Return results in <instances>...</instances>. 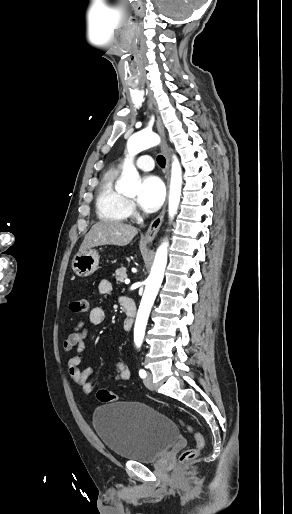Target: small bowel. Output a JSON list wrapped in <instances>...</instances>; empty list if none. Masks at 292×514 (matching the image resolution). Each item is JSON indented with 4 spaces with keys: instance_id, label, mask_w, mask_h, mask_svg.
Instances as JSON below:
<instances>
[{
    "instance_id": "1",
    "label": "small bowel",
    "mask_w": 292,
    "mask_h": 514,
    "mask_svg": "<svg viewBox=\"0 0 292 514\" xmlns=\"http://www.w3.org/2000/svg\"><path fill=\"white\" fill-rule=\"evenodd\" d=\"M98 291L102 295H108L112 292V284L109 280L103 279L98 283ZM106 319L105 311L102 307H94L86 320H81L72 326L71 331L63 342V348L67 353L75 350V354L69 357L67 361V372L73 382L80 387L85 393H92L95 390L94 385L89 381L94 375V370L90 367L81 370V354L85 350V340L88 336L90 327H97L104 323ZM115 378L117 381H128L131 378V371L125 362H117L114 365Z\"/></svg>"
}]
</instances>
